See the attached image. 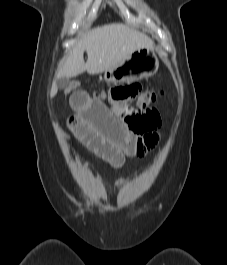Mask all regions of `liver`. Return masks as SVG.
<instances>
[{"mask_svg": "<svg viewBox=\"0 0 227 265\" xmlns=\"http://www.w3.org/2000/svg\"><path fill=\"white\" fill-rule=\"evenodd\" d=\"M153 41L145 34L122 23H112L96 27L86 32L74 44L66 61L59 67L56 78L76 77L87 71L99 74L116 67L139 48H152ZM84 51L88 59L84 62ZM57 92L52 85L51 96Z\"/></svg>", "mask_w": 227, "mask_h": 265, "instance_id": "6515ba94", "label": "liver"}]
</instances>
